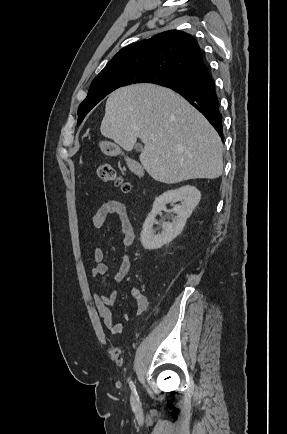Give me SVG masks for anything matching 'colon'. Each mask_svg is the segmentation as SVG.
<instances>
[{
    "instance_id": "1",
    "label": "colon",
    "mask_w": 287,
    "mask_h": 434,
    "mask_svg": "<svg viewBox=\"0 0 287 434\" xmlns=\"http://www.w3.org/2000/svg\"><path fill=\"white\" fill-rule=\"evenodd\" d=\"M98 178L105 183H114L119 186L124 192L130 191L129 183L125 182L121 176L118 175L114 166L110 163H103L97 167Z\"/></svg>"
}]
</instances>
